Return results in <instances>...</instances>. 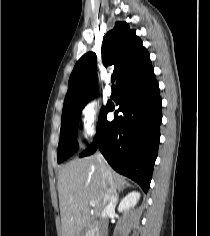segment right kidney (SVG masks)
<instances>
[{
  "instance_id": "obj_1",
  "label": "right kidney",
  "mask_w": 210,
  "mask_h": 236,
  "mask_svg": "<svg viewBox=\"0 0 210 236\" xmlns=\"http://www.w3.org/2000/svg\"><path fill=\"white\" fill-rule=\"evenodd\" d=\"M140 199V193L137 191H132L128 193L120 202L118 211H127L129 208L134 207Z\"/></svg>"
}]
</instances>
